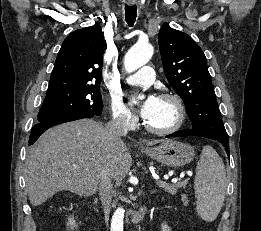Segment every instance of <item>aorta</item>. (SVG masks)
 Wrapping results in <instances>:
<instances>
[{"label": "aorta", "mask_w": 261, "mask_h": 231, "mask_svg": "<svg viewBox=\"0 0 261 231\" xmlns=\"http://www.w3.org/2000/svg\"><path fill=\"white\" fill-rule=\"evenodd\" d=\"M153 55V47L149 43H137L129 49L125 55L124 66L128 73L134 72L143 65H145ZM141 99L144 96H139ZM124 213L125 210L122 207L116 209L113 214L111 222V231H123L124 230Z\"/></svg>", "instance_id": "1"}]
</instances>
